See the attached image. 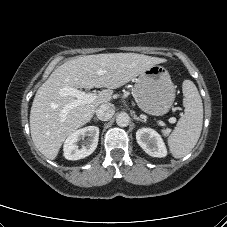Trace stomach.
<instances>
[{
  "label": "stomach",
  "instance_id": "1",
  "mask_svg": "<svg viewBox=\"0 0 227 227\" xmlns=\"http://www.w3.org/2000/svg\"><path fill=\"white\" fill-rule=\"evenodd\" d=\"M175 92L169 72L163 66L154 65L136 79L133 96L141 110L161 116L169 112Z\"/></svg>",
  "mask_w": 227,
  "mask_h": 227
}]
</instances>
